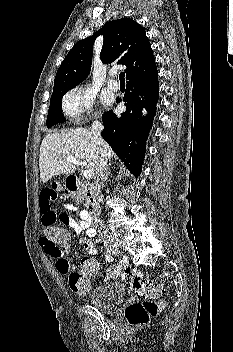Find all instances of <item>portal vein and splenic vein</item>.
Here are the masks:
<instances>
[{
    "mask_svg": "<svg viewBox=\"0 0 233 352\" xmlns=\"http://www.w3.org/2000/svg\"><path fill=\"white\" fill-rule=\"evenodd\" d=\"M65 160H66V161H69V162H71V163H74V164L77 165V166H85V165H86L85 162L79 161L78 159H76V158L73 157V156H67V157H65ZM83 176H84L86 179H90V178L92 177V174L90 173V171L85 170V171L83 172Z\"/></svg>",
    "mask_w": 233,
    "mask_h": 352,
    "instance_id": "1",
    "label": "portal vein and splenic vein"
}]
</instances>
